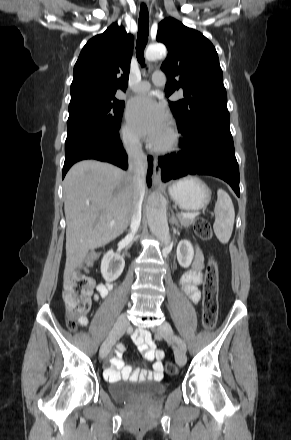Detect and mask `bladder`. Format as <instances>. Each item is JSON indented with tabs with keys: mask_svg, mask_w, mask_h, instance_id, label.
I'll return each mask as SVG.
<instances>
[{
	"mask_svg": "<svg viewBox=\"0 0 291 440\" xmlns=\"http://www.w3.org/2000/svg\"><path fill=\"white\" fill-rule=\"evenodd\" d=\"M137 381H117L110 389L111 395L119 402L127 403L139 399H153L165 392V387L158 384L141 386Z\"/></svg>",
	"mask_w": 291,
	"mask_h": 440,
	"instance_id": "1",
	"label": "bladder"
}]
</instances>
